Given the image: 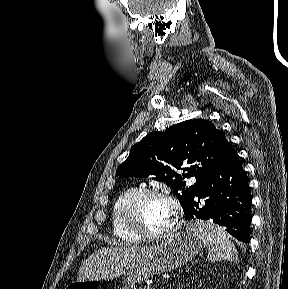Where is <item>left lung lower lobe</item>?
I'll return each instance as SVG.
<instances>
[{
  "mask_svg": "<svg viewBox=\"0 0 288 289\" xmlns=\"http://www.w3.org/2000/svg\"><path fill=\"white\" fill-rule=\"evenodd\" d=\"M250 207L245 172L235 150L229 145L221 162L184 208V214L186 220H213L238 240L248 242Z\"/></svg>",
  "mask_w": 288,
  "mask_h": 289,
  "instance_id": "left-lung-lower-lobe-1",
  "label": "left lung lower lobe"
}]
</instances>
